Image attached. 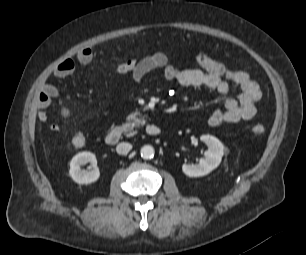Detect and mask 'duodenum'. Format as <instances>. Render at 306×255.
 <instances>
[{
  "label": "duodenum",
  "mask_w": 306,
  "mask_h": 255,
  "mask_svg": "<svg viewBox=\"0 0 306 255\" xmlns=\"http://www.w3.org/2000/svg\"><path fill=\"white\" fill-rule=\"evenodd\" d=\"M145 131L147 135L155 137L158 136L161 133V130L158 126L156 125H147L145 128ZM125 134V128L122 126H115L111 129H109L105 135V142L108 145H115L117 144L122 137Z\"/></svg>",
  "instance_id": "410a0bca"
}]
</instances>
